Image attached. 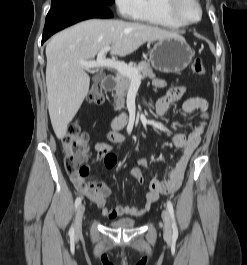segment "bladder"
<instances>
[{
  "label": "bladder",
  "mask_w": 247,
  "mask_h": 265,
  "mask_svg": "<svg viewBox=\"0 0 247 265\" xmlns=\"http://www.w3.org/2000/svg\"><path fill=\"white\" fill-rule=\"evenodd\" d=\"M137 221L133 219H118L108 223V226L116 229H132L136 227Z\"/></svg>",
  "instance_id": "bladder-1"
}]
</instances>
